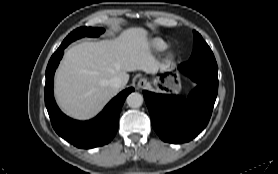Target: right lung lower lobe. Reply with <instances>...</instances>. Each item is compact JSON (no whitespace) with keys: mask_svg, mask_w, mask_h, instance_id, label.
<instances>
[{"mask_svg":"<svg viewBox=\"0 0 278 174\" xmlns=\"http://www.w3.org/2000/svg\"><path fill=\"white\" fill-rule=\"evenodd\" d=\"M61 45L52 55L46 68L45 104L54 130L59 136L79 148H94L109 143L118 129L119 114L125 98L134 91L128 88L113 98L94 119L80 122L64 115L53 97V78L63 56Z\"/></svg>","mask_w":278,"mask_h":174,"instance_id":"obj_1","label":"right lung lower lobe"}]
</instances>
